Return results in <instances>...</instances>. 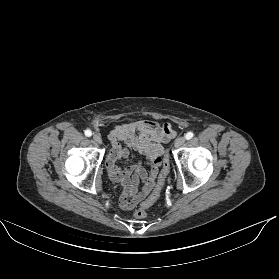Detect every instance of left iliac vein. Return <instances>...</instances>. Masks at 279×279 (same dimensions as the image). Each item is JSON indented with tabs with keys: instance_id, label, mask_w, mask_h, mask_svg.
I'll list each match as a JSON object with an SVG mask.
<instances>
[{
	"instance_id": "1",
	"label": "left iliac vein",
	"mask_w": 279,
	"mask_h": 279,
	"mask_svg": "<svg viewBox=\"0 0 279 279\" xmlns=\"http://www.w3.org/2000/svg\"><path fill=\"white\" fill-rule=\"evenodd\" d=\"M185 141H186L185 137H178V138L175 140L174 146H175L176 148H179V147H181L182 145H184Z\"/></svg>"
}]
</instances>
